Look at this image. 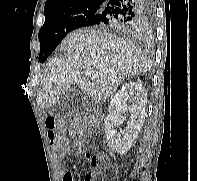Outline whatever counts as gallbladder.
<instances>
[{"mask_svg":"<svg viewBox=\"0 0 197 181\" xmlns=\"http://www.w3.org/2000/svg\"><path fill=\"white\" fill-rule=\"evenodd\" d=\"M70 92L71 90H69L68 92L66 91V94H63V96L61 97L62 100H66V99H69L70 97ZM60 102V101H59Z\"/></svg>","mask_w":197,"mask_h":181,"instance_id":"bac80fb5","label":"gallbladder"}]
</instances>
